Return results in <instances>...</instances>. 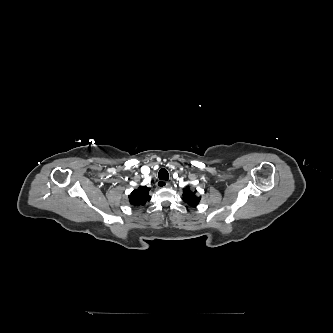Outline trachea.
Masks as SVG:
<instances>
[{
  "label": "trachea",
  "mask_w": 333,
  "mask_h": 333,
  "mask_svg": "<svg viewBox=\"0 0 333 333\" xmlns=\"http://www.w3.org/2000/svg\"><path fill=\"white\" fill-rule=\"evenodd\" d=\"M158 177L160 180H168L169 179V173L166 169L162 168L160 169L158 173Z\"/></svg>",
  "instance_id": "trachea-1"
}]
</instances>
